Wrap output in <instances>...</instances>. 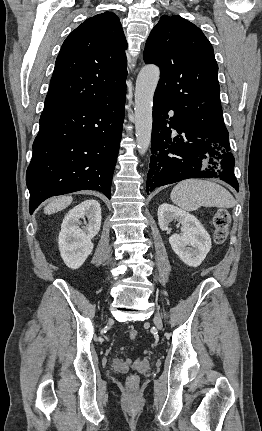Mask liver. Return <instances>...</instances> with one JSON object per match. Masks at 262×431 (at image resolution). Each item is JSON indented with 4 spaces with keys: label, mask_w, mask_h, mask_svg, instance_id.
I'll list each match as a JSON object with an SVG mask.
<instances>
[{
    "label": "liver",
    "mask_w": 262,
    "mask_h": 431,
    "mask_svg": "<svg viewBox=\"0 0 262 431\" xmlns=\"http://www.w3.org/2000/svg\"><path fill=\"white\" fill-rule=\"evenodd\" d=\"M72 201V196H61L58 198H54L45 206L44 213L50 215L59 212L68 207L72 203Z\"/></svg>",
    "instance_id": "liver-1"
}]
</instances>
